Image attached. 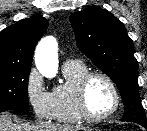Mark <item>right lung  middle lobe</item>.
Segmentation results:
<instances>
[{"mask_svg": "<svg viewBox=\"0 0 147 131\" xmlns=\"http://www.w3.org/2000/svg\"><path fill=\"white\" fill-rule=\"evenodd\" d=\"M29 73L30 67L0 66V111H29Z\"/></svg>", "mask_w": 147, "mask_h": 131, "instance_id": "right-lung-middle-lobe-1", "label": "right lung middle lobe"}]
</instances>
